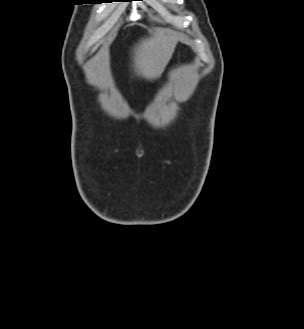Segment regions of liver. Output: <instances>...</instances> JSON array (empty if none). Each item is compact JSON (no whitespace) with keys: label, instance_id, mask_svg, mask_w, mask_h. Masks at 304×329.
I'll return each mask as SVG.
<instances>
[{"label":"liver","instance_id":"liver-1","mask_svg":"<svg viewBox=\"0 0 304 329\" xmlns=\"http://www.w3.org/2000/svg\"><path fill=\"white\" fill-rule=\"evenodd\" d=\"M178 37L169 29L152 31L133 51V67L138 76L154 80L161 76L176 47Z\"/></svg>","mask_w":304,"mask_h":329}]
</instances>
